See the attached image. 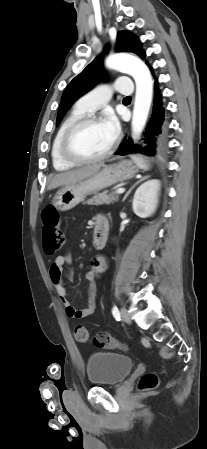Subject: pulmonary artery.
<instances>
[{"label": "pulmonary artery", "mask_w": 207, "mask_h": 449, "mask_svg": "<svg viewBox=\"0 0 207 449\" xmlns=\"http://www.w3.org/2000/svg\"><path fill=\"white\" fill-rule=\"evenodd\" d=\"M114 91L130 95L133 87L129 78H124L116 85L102 84L85 94L76 104V107L85 113H92L107 103Z\"/></svg>", "instance_id": "e3ab8cb5"}]
</instances>
